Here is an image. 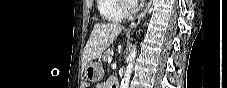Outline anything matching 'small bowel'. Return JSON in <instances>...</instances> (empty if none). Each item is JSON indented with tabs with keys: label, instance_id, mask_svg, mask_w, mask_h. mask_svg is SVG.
<instances>
[{
	"label": "small bowel",
	"instance_id": "1",
	"mask_svg": "<svg viewBox=\"0 0 227 88\" xmlns=\"http://www.w3.org/2000/svg\"><path fill=\"white\" fill-rule=\"evenodd\" d=\"M111 80L97 84V88H111Z\"/></svg>",
	"mask_w": 227,
	"mask_h": 88
}]
</instances>
